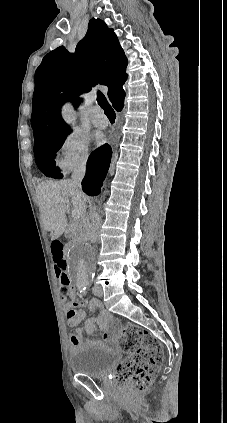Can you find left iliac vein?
Masks as SVG:
<instances>
[{"mask_svg":"<svg viewBox=\"0 0 227 423\" xmlns=\"http://www.w3.org/2000/svg\"><path fill=\"white\" fill-rule=\"evenodd\" d=\"M93 293L97 296V297H101L102 296V291L100 289H94Z\"/></svg>","mask_w":227,"mask_h":423,"instance_id":"4c4485c4","label":"left iliac vein"}]
</instances>
